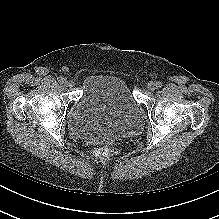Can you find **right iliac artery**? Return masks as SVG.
Here are the masks:
<instances>
[{
	"label": "right iliac artery",
	"mask_w": 219,
	"mask_h": 219,
	"mask_svg": "<svg viewBox=\"0 0 219 219\" xmlns=\"http://www.w3.org/2000/svg\"><path fill=\"white\" fill-rule=\"evenodd\" d=\"M57 80H58L60 83H62V82L64 81V78H63L62 76H59V77L57 78Z\"/></svg>",
	"instance_id": "82829eb1"
}]
</instances>
